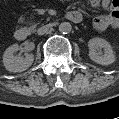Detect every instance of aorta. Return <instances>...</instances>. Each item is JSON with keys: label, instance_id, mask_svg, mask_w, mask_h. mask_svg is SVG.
Segmentation results:
<instances>
[{"label": "aorta", "instance_id": "1", "mask_svg": "<svg viewBox=\"0 0 119 119\" xmlns=\"http://www.w3.org/2000/svg\"><path fill=\"white\" fill-rule=\"evenodd\" d=\"M58 28H59V31H60L61 33L66 34V33L71 32V30H72V25H71L70 22L64 21V22H61V23L59 24V27H58Z\"/></svg>", "mask_w": 119, "mask_h": 119}]
</instances>
